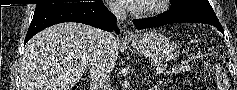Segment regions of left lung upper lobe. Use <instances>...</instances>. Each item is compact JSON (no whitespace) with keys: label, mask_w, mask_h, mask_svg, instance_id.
<instances>
[{"label":"left lung upper lobe","mask_w":237,"mask_h":90,"mask_svg":"<svg viewBox=\"0 0 237 90\" xmlns=\"http://www.w3.org/2000/svg\"><path fill=\"white\" fill-rule=\"evenodd\" d=\"M172 11H188L216 17L208 0H171Z\"/></svg>","instance_id":"5c2ea615"}]
</instances>
